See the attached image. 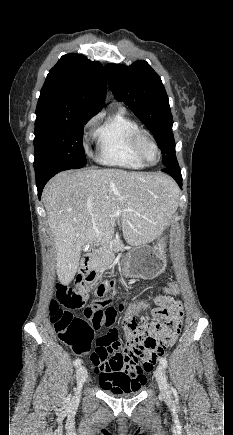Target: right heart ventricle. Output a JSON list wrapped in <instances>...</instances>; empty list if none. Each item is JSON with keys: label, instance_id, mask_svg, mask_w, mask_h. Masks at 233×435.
<instances>
[{"label": "right heart ventricle", "instance_id": "right-heart-ventricle-1", "mask_svg": "<svg viewBox=\"0 0 233 435\" xmlns=\"http://www.w3.org/2000/svg\"><path fill=\"white\" fill-rule=\"evenodd\" d=\"M138 124L119 109L100 122L93 132L98 145V160L105 165L127 169H141L145 166L138 157L133 135Z\"/></svg>", "mask_w": 233, "mask_h": 435}]
</instances>
